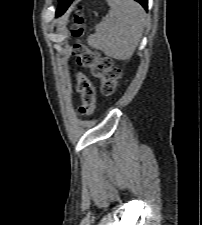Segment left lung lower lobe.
Returning a JSON list of instances; mask_svg holds the SVG:
<instances>
[{
    "label": "left lung lower lobe",
    "instance_id": "1",
    "mask_svg": "<svg viewBox=\"0 0 202 225\" xmlns=\"http://www.w3.org/2000/svg\"><path fill=\"white\" fill-rule=\"evenodd\" d=\"M139 2L145 9H147V0H135Z\"/></svg>",
    "mask_w": 202,
    "mask_h": 225
}]
</instances>
